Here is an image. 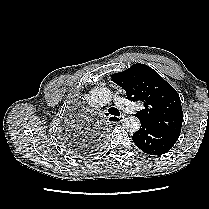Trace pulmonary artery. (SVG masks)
<instances>
[{
	"label": "pulmonary artery",
	"mask_w": 209,
	"mask_h": 209,
	"mask_svg": "<svg viewBox=\"0 0 209 209\" xmlns=\"http://www.w3.org/2000/svg\"><path fill=\"white\" fill-rule=\"evenodd\" d=\"M115 103L117 106H119L122 110L126 112H132L134 109L129 101L121 97H116Z\"/></svg>",
	"instance_id": "1"
}]
</instances>
